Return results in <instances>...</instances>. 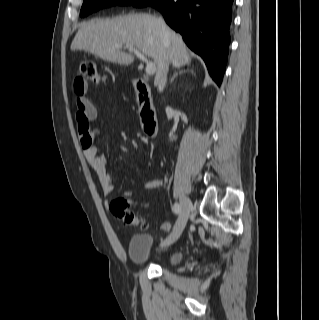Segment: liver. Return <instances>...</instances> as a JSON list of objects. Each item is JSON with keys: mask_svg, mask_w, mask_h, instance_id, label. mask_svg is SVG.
Here are the masks:
<instances>
[{"mask_svg": "<svg viewBox=\"0 0 319 320\" xmlns=\"http://www.w3.org/2000/svg\"><path fill=\"white\" fill-rule=\"evenodd\" d=\"M169 32L168 38L163 37L159 19L145 13L113 19H92L81 25L72 41L71 50H83L105 61L130 65L134 56L121 48L133 47L154 60V84L158 86L166 66L171 63L179 68L191 61L181 35L170 29ZM116 45L121 48L117 49Z\"/></svg>", "mask_w": 319, "mask_h": 320, "instance_id": "1", "label": "liver"}]
</instances>
